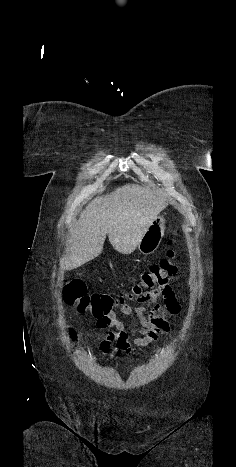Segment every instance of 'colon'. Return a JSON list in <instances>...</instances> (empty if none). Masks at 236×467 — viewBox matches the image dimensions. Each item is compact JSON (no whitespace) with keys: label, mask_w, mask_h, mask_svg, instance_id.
Instances as JSON below:
<instances>
[{"label":"colon","mask_w":236,"mask_h":467,"mask_svg":"<svg viewBox=\"0 0 236 467\" xmlns=\"http://www.w3.org/2000/svg\"><path fill=\"white\" fill-rule=\"evenodd\" d=\"M178 258V251L171 247L164 258L141 273L130 290L118 296L108 293L89 294L81 279H72L63 287V300L81 313L90 312L95 317L107 316L114 308L123 306L127 300L142 298L165 287L169 278L176 274Z\"/></svg>","instance_id":"obj_1"}]
</instances>
